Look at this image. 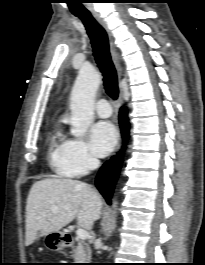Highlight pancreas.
Returning <instances> with one entry per match:
<instances>
[{"label": "pancreas", "instance_id": "cf45deb5", "mask_svg": "<svg viewBox=\"0 0 205 265\" xmlns=\"http://www.w3.org/2000/svg\"><path fill=\"white\" fill-rule=\"evenodd\" d=\"M91 250L87 244L78 240V246L73 250V258L76 263H86L90 260Z\"/></svg>", "mask_w": 205, "mask_h": 265}]
</instances>
